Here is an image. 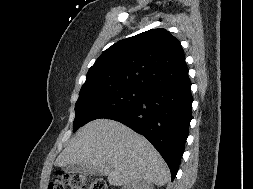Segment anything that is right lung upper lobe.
I'll return each instance as SVG.
<instances>
[{"label": "right lung upper lobe", "instance_id": "obj_1", "mask_svg": "<svg viewBox=\"0 0 253 189\" xmlns=\"http://www.w3.org/2000/svg\"><path fill=\"white\" fill-rule=\"evenodd\" d=\"M186 78L188 68L179 40L165 29H151L105 50L89 69L80 93L110 86L146 91Z\"/></svg>", "mask_w": 253, "mask_h": 189}]
</instances>
